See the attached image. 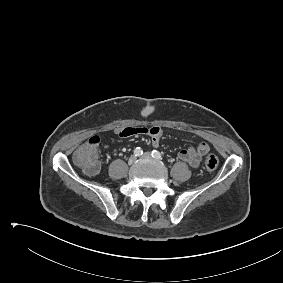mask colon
Returning <instances> with one entry per match:
<instances>
[{"label":"colon","mask_w":283,"mask_h":283,"mask_svg":"<svg viewBox=\"0 0 283 283\" xmlns=\"http://www.w3.org/2000/svg\"><path fill=\"white\" fill-rule=\"evenodd\" d=\"M99 144L100 138L98 136H93L74 154L75 162L89 174H93L98 170ZM218 164L219 159L215 154L210 153L205 157L204 166L208 171L215 170L218 167Z\"/></svg>","instance_id":"colon-1"}]
</instances>
